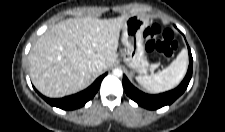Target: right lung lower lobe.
<instances>
[{
	"instance_id": "obj_1",
	"label": "right lung lower lobe",
	"mask_w": 225,
	"mask_h": 132,
	"mask_svg": "<svg viewBox=\"0 0 225 132\" xmlns=\"http://www.w3.org/2000/svg\"><path fill=\"white\" fill-rule=\"evenodd\" d=\"M106 73L95 80V82L87 89L71 96L60 99H50L40 94V96L50 105L61 108L63 110H73L82 107L91 100L97 93L102 79Z\"/></svg>"
}]
</instances>
